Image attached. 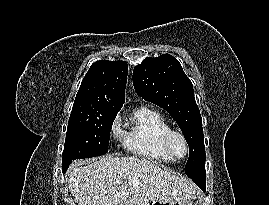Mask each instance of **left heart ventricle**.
<instances>
[{
  "label": "left heart ventricle",
  "mask_w": 269,
  "mask_h": 205,
  "mask_svg": "<svg viewBox=\"0 0 269 205\" xmlns=\"http://www.w3.org/2000/svg\"><path fill=\"white\" fill-rule=\"evenodd\" d=\"M172 146H173V149L177 155H179V156L184 155L185 145L180 137L176 136L173 138Z\"/></svg>",
  "instance_id": "1"
}]
</instances>
